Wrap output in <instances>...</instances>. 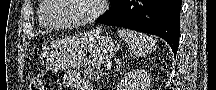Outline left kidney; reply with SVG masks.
<instances>
[{"label": "left kidney", "mask_w": 216, "mask_h": 90, "mask_svg": "<svg viewBox=\"0 0 216 90\" xmlns=\"http://www.w3.org/2000/svg\"><path fill=\"white\" fill-rule=\"evenodd\" d=\"M150 74L147 70H132L125 74L117 90H149Z\"/></svg>", "instance_id": "5707ae66"}]
</instances>
